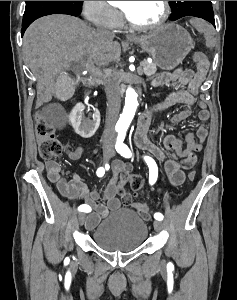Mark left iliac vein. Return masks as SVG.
Listing matches in <instances>:
<instances>
[{
	"label": "left iliac vein",
	"mask_w": 237,
	"mask_h": 300,
	"mask_svg": "<svg viewBox=\"0 0 237 300\" xmlns=\"http://www.w3.org/2000/svg\"><path fill=\"white\" fill-rule=\"evenodd\" d=\"M110 156H111V157L114 156V150L111 152V155H110ZM162 227H163V224H162L161 221H155V222H154V229H155L156 231H160V230L162 229Z\"/></svg>",
	"instance_id": "obj_1"
}]
</instances>
